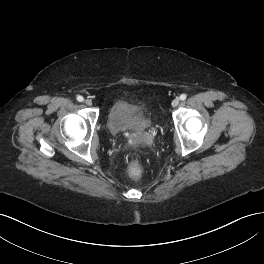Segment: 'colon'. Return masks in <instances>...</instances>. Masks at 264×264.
<instances>
[{"instance_id":"1","label":"colon","mask_w":264,"mask_h":264,"mask_svg":"<svg viewBox=\"0 0 264 264\" xmlns=\"http://www.w3.org/2000/svg\"><path fill=\"white\" fill-rule=\"evenodd\" d=\"M142 172H143L142 167L138 162L133 161L130 163L128 167V174L131 178L137 179L141 177Z\"/></svg>"}]
</instances>
